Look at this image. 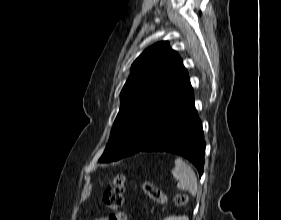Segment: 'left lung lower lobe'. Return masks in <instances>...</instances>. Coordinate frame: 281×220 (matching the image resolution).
<instances>
[{"label": "left lung lower lobe", "mask_w": 281, "mask_h": 220, "mask_svg": "<svg viewBox=\"0 0 281 220\" xmlns=\"http://www.w3.org/2000/svg\"><path fill=\"white\" fill-rule=\"evenodd\" d=\"M203 137L202 123L194 105L193 89L189 85L167 111L151 141L137 152H170L181 155L195 165L201 176L205 154Z\"/></svg>", "instance_id": "0a47b994"}]
</instances>
